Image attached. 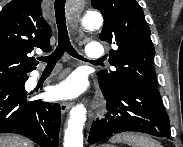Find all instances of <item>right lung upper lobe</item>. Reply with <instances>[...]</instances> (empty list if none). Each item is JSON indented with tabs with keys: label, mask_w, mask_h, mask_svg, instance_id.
<instances>
[{
	"label": "right lung upper lobe",
	"mask_w": 183,
	"mask_h": 147,
	"mask_svg": "<svg viewBox=\"0 0 183 147\" xmlns=\"http://www.w3.org/2000/svg\"><path fill=\"white\" fill-rule=\"evenodd\" d=\"M42 0H12L0 12V82L35 70L29 54L48 52L52 31L42 17Z\"/></svg>",
	"instance_id": "obj_1"
}]
</instances>
